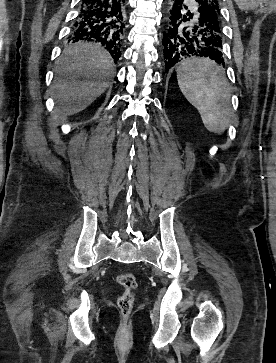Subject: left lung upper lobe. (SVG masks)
Masks as SVG:
<instances>
[{
    "mask_svg": "<svg viewBox=\"0 0 276 363\" xmlns=\"http://www.w3.org/2000/svg\"><path fill=\"white\" fill-rule=\"evenodd\" d=\"M198 2L202 3V2H205L207 3L209 6L213 7L216 12L218 13L219 15V18H220V21H221V13H220V7H219V2L218 0H197ZM222 34L223 33H220V37L222 38Z\"/></svg>",
    "mask_w": 276,
    "mask_h": 363,
    "instance_id": "obj_1",
    "label": "left lung upper lobe"
}]
</instances>
